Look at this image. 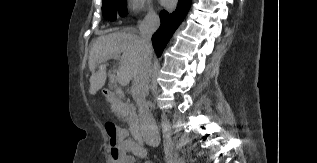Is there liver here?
I'll return each mask as SVG.
<instances>
[{
    "label": "liver",
    "mask_w": 317,
    "mask_h": 163,
    "mask_svg": "<svg viewBox=\"0 0 317 163\" xmlns=\"http://www.w3.org/2000/svg\"><path fill=\"white\" fill-rule=\"evenodd\" d=\"M122 54V55H121ZM120 58L117 71L118 82L122 86L134 80L139 66L143 60L141 37L134 29H126L120 32H113L102 35L96 39L89 53V69L91 95H95L106 82L107 60ZM102 63L98 71H95L97 64Z\"/></svg>",
    "instance_id": "6515ba94"
}]
</instances>
